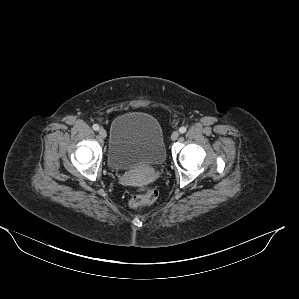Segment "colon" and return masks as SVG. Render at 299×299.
<instances>
[{"label": "colon", "instance_id": "1", "mask_svg": "<svg viewBox=\"0 0 299 299\" xmlns=\"http://www.w3.org/2000/svg\"><path fill=\"white\" fill-rule=\"evenodd\" d=\"M157 197L158 191L155 188L147 187L143 193L135 195L130 199L129 206L136 209L154 202Z\"/></svg>", "mask_w": 299, "mask_h": 299}]
</instances>
